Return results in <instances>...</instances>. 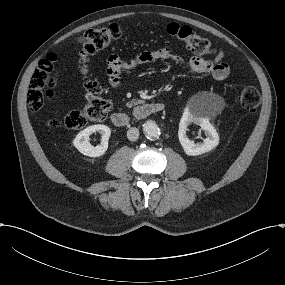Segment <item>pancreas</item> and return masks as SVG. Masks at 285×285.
Segmentation results:
<instances>
[{
    "label": "pancreas",
    "instance_id": "obj_1",
    "mask_svg": "<svg viewBox=\"0 0 285 285\" xmlns=\"http://www.w3.org/2000/svg\"><path fill=\"white\" fill-rule=\"evenodd\" d=\"M145 103H146V101L138 100V99L135 98V99H132L129 102H127L125 104V106L128 107V108H131V107L136 106L138 104H145Z\"/></svg>",
    "mask_w": 285,
    "mask_h": 285
}]
</instances>
